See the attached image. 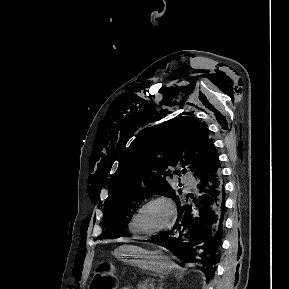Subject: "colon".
<instances>
[{
    "label": "colon",
    "instance_id": "obj_1",
    "mask_svg": "<svg viewBox=\"0 0 289 289\" xmlns=\"http://www.w3.org/2000/svg\"><path fill=\"white\" fill-rule=\"evenodd\" d=\"M116 278L106 265H100L95 273L91 289H113Z\"/></svg>",
    "mask_w": 289,
    "mask_h": 289
}]
</instances>
